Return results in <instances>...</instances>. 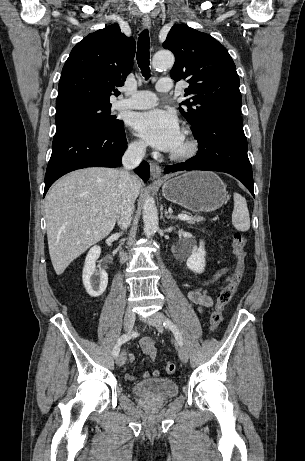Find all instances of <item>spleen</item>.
<instances>
[{
  "instance_id": "spleen-1",
  "label": "spleen",
  "mask_w": 305,
  "mask_h": 461,
  "mask_svg": "<svg viewBox=\"0 0 305 461\" xmlns=\"http://www.w3.org/2000/svg\"><path fill=\"white\" fill-rule=\"evenodd\" d=\"M233 199L232 224L239 231H248L250 228V217L246 200L238 193H234Z\"/></svg>"
}]
</instances>
